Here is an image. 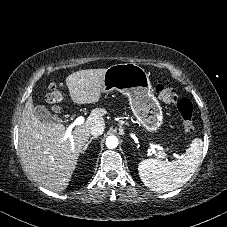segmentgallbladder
<instances>
[{"mask_svg":"<svg viewBox=\"0 0 227 227\" xmlns=\"http://www.w3.org/2000/svg\"><path fill=\"white\" fill-rule=\"evenodd\" d=\"M34 115L38 120L48 123L61 122L60 118L55 117L51 112L43 105H37L34 107Z\"/></svg>","mask_w":227,"mask_h":227,"instance_id":"obj_1","label":"gallbladder"}]
</instances>
